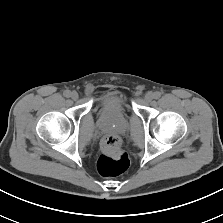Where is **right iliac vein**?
Segmentation results:
<instances>
[{
  "label": "right iliac vein",
  "mask_w": 223,
  "mask_h": 223,
  "mask_svg": "<svg viewBox=\"0 0 223 223\" xmlns=\"http://www.w3.org/2000/svg\"><path fill=\"white\" fill-rule=\"evenodd\" d=\"M78 97H79V95H78V93H77L76 91L71 92V98H72L73 100H77Z\"/></svg>",
  "instance_id": "63e3f726"
}]
</instances>
